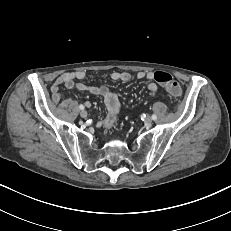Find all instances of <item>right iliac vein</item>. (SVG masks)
I'll return each instance as SVG.
<instances>
[{
	"instance_id": "63e3f726",
	"label": "right iliac vein",
	"mask_w": 231,
	"mask_h": 231,
	"mask_svg": "<svg viewBox=\"0 0 231 231\" xmlns=\"http://www.w3.org/2000/svg\"><path fill=\"white\" fill-rule=\"evenodd\" d=\"M80 116H81L82 118H86V117H87V111H86V110H82V111L80 112Z\"/></svg>"
}]
</instances>
